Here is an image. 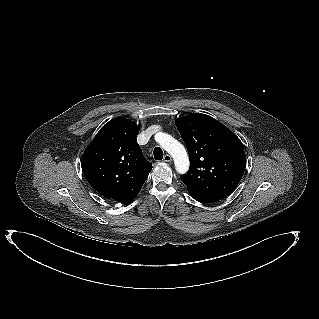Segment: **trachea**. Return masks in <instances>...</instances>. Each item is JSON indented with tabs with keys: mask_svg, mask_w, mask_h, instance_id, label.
I'll return each instance as SVG.
<instances>
[{
	"mask_svg": "<svg viewBox=\"0 0 319 319\" xmlns=\"http://www.w3.org/2000/svg\"><path fill=\"white\" fill-rule=\"evenodd\" d=\"M155 160H162L163 150L160 147H156L153 151Z\"/></svg>",
	"mask_w": 319,
	"mask_h": 319,
	"instance_id": "obj_1",
	"label": "trachea"
}]
</instances>
